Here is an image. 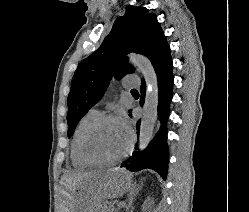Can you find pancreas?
Returning <instances> with one entry per match:
<instances>
[{
	"instance_id": "cf45deb5",
	"label": "pancreas",
	"mask_w": 249,
	"mask_h": 212,
	"mask_svg": "<svg viewBox=\"0 0 249 212\" xmlns=\"http://www.w3.org/2000/svg\"><path fill=\"white\" fill-rule=\"evenodd\" d=\"M112 210H115V208L113 206H106V204H101L98 208V212H112Z\"/></svg>"
}]
</instances>
